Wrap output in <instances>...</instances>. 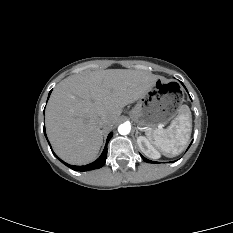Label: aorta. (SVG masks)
<instances>
[{
  "label": "aorta",
  "mask_w": 233,
  "mask_h": 233,
  "mask_svg": "<svg viewBox=\"0 0 233 233\" xmlns=\"http://www.w3.org/2000/svg\"><path fill=\"white\" fill-rule=\"evenodd\" d=\"M130 130H131V126L127 123H123V124L119 125V127H118V132L121 135L129 134Z\"/></svg>",
  "instance_id": "obj_1"
}]
</instances>
